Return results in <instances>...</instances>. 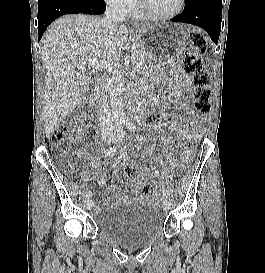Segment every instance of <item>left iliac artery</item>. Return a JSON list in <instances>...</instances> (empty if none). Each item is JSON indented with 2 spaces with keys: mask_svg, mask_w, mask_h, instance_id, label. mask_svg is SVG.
Instances as JSON below:
<instances>
[{
  "mask_svg": "<svg viewBox=\"0 0 265 273\" xmlns=\"http://www.w3.org/2000/svg\"><path fill=\"white\" fill-rule=\"evenodd\" d=\"M123 125L125 127H127L130 131H134L135 130V126L133 125V123H131L129 121H125L123 123ZM162 194H163L164 197H168L169 196L168 190L166 188L162 189Z\"/></svg>",
  "mask_w": 265,
  "mask_h": 273,
  "instance_id": "left-iliac-artery-1",
  "label": "left iliac artery"
}]
</instances>
